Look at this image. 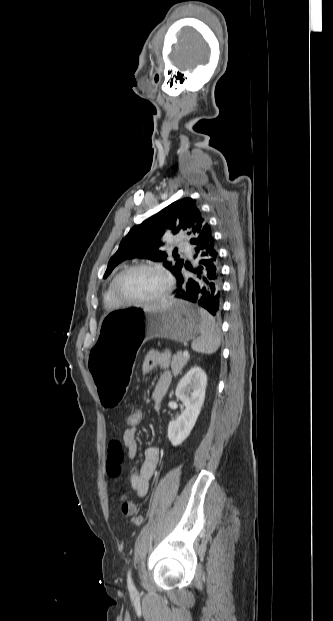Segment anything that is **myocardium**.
<instances>
[{"mask_svg":"<svg viewBox=\"0 0 333 621\" xmlns=\"http://www.w3.org/2000/svg\"><path fill=\"white\" fill-rule=\"evenodd\" d=\"M136 270H152V271L158 272L166 281V289L164 293L161 296L155 299H150V300H131V299L124 298L119 292V284L125 275H127L128 273L132 271H136ZM173 286L174 284H173V279L171 275L161 264L141 262V263L130 265L126 267L125 269H123L121 272H119L113 280L112 291L119 305L147 306V305H158L168 300V298L170 297L173 291Z\"/></svg>","mask_w":333,"mask_h":621,"instance_id":"1","label":"myocardium"}]
</instances>
